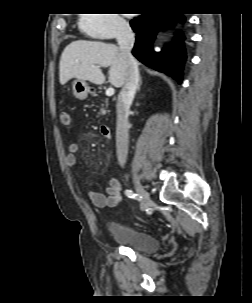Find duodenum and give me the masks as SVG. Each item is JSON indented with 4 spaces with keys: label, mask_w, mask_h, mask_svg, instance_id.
I'll use <instances>...</instances> for the list:
<instances>
[{
    "label": "duodenum",
    "mask_w": 252,
    "mask_h": 303,
    "mask_svg": "<svg viewBox=\"0 0 252 303\" xmlns=\"http://www.w3.org/2000/svg\"><path fill=\"white\" fill-rule=\"evenodd\" d=\"M100 131L103 135L104 138H110L111 137V131H110V127L106 124H101L100 125Z\"/></svg>",
    "instance_id": "410a0bca"
}]
</instances>
